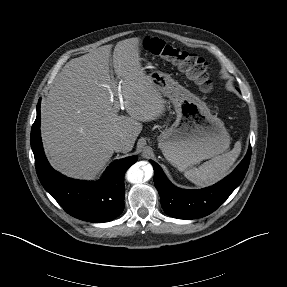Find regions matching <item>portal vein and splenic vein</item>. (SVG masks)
<instances>
[{"label": "portal vein and splenic vein", "mask_w": 287, "mask_h": 287, "mask_svg": "<svg viewBox=\"0 0 287 287\" xmlns=\"http://www.w3.org/2000/svg\"><path fill=\"white\" fill-rule=\"evenodd\" d=\"M116 96H118L119 101H116L115 107H116L117 109H119V107L122 108V107L124 106V101H123V96H122V94H121L120 85L118 86V91H117V95H116Z\"/></svg>", "instance_id": "1"}]
</instances>
